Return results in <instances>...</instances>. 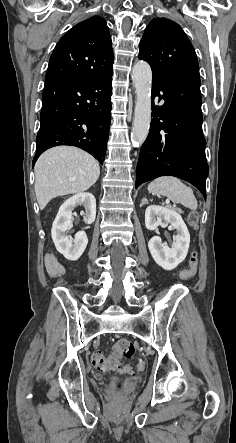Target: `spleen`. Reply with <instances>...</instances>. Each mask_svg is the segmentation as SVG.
I'll return each instance as SVG.
<instances>
[{
	"label": "spleen",
	"mask_w": 236,
	"mask_h": 443,
	"mask_svg": "<svg viewBox=\"0 0 236 443\" xmlns=\"http://www.w3.org/2000/svg\"><path fill=\"white\" fill-rule=\"evenodd\" d=\"M148 191L152 194L167 196L172 202L180 203L191 210L197 209V200L193 190L178 178L159 177L148 185Z\"/></svg>",
	"instance_id": "obj_1"
}]
</instances>
